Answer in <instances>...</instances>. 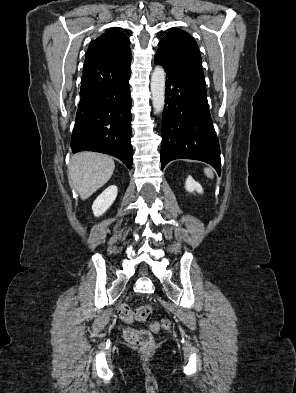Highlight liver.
Returning <instances> with one entry per match:
<instances>
[{"mask_svg":"<svg viewBox=\"0 0 296 393\" xmlns=\"http://www.w3.org/2000/svg\"><path fill=\"white\" fill-rule=\"evenodd\" d=\"M115 169L113 159L94 152H81L71 157L68 167L69 184L82 200L89 198L109 181Z\"/></svg>","mask_w":296,"mask_h":393,"instance_id":"obj_1","label":"liver"}]
</instances>
